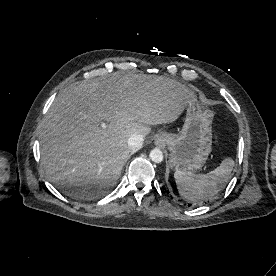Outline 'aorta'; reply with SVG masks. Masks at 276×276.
Returning <instances> with one entry per match:
<instances>
[{
  "label": "aorta",
  "instance_id": "obj_1",
  "mask_svg": "<svg viewBox=\"0 0 276 276\" xmlns=\"http://www.w3.org/2000/svg\"><path fill=\"white\" fill-rule=\"evenodd\" d=\"M149 156L150 159L155 163H161L164 158L163 152L158 148L151 150Z\"/></svg>",
  "mask_w": 276,
  "mask_h": 276
}]
</instances>
